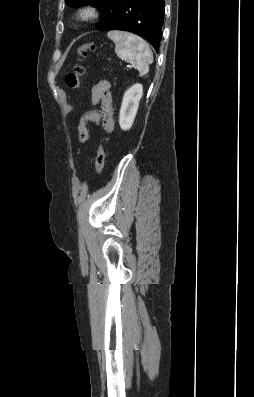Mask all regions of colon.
<instances>
[{"label": "colon", "instance_id": "1", "mask_svg": "<svg viewBox=\"0 0 254 397\" xmlns=\"http://www.w3.org/2000/svg\"><path fill=\"white\" fill-rule=\"evenodd\" d=\"M96 46L93 43H88L82 45L78 49V59L77 64L74 66V69L68 73L65 77V84L69 89L79 90L82 87V77L85 74V66L83 64L85 58L87 57L88 53L94 51ZM105 163V150L104 145L100 143L97 148L96 160H95V167L96 172L99 174L104 167Z\"/></svg>", "mask_w": 254, "mask_h": 397}]
</instances>
